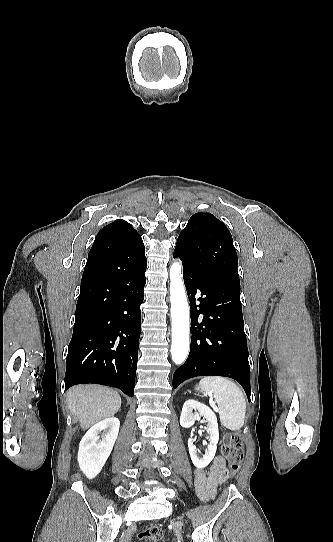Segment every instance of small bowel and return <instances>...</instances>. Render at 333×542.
Listing matches in <instances>:
<instances>
[{
    "mask_svg": "<svg viewBox=\"0 0 333 542\" xmlns=\"http://www.w3.org/2000/svg\"><path fill=\"white\" fill-rule=\"evenodd\" d=\"M194 475L195 491L198 498L203 502L213 500L218 485L224 482L228 476L225 458L221 455L215 456L207 472L201 468H196Z\"/></svg>",
    "mask_w": 333,
    "mask_h": 542,
    "instance_id": "c3829d8e",
    "label": "small bowel"
}]
</instances>
